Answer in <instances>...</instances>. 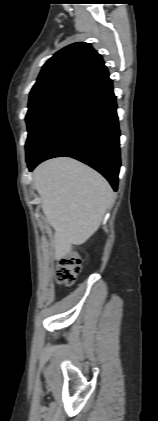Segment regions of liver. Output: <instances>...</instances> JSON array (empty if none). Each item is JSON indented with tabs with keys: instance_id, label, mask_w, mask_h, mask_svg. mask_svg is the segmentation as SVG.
<instances>
[{
	"instance_id": "liver-1",
	"label": "liver",
	"mask_w": 158,
	"mask_h": 421,
	"mask_svg": "<svg viewBox=\"0 0 158 421\" xmlns=\"http://www.w3.org/2000/svg\"><path fill=\"white\" fill-rule=\"evenodd\" d=\"M42 210L54 228V257H65L72 245L87 241L99 228L113 202L107 180L92 168L71 158H55L33 173Z\"/></svg>"
}]
</instances>
